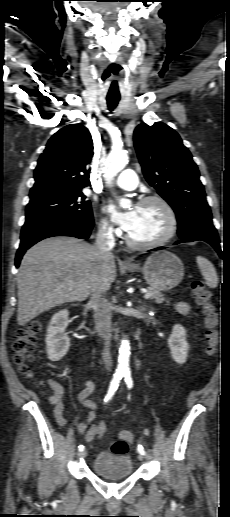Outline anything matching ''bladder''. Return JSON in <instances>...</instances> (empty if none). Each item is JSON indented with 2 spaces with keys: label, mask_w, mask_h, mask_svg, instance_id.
<instances>
[{
  "label": "bladder",
  "mask_w": 230,
  "mask_h": 517,
  "mask_svg": "<svg viewBox=\"0 0 230 517\" xmlns=\"http://www.w3.org/2000/svg\"><path fill=\"white\" fill-rule=\"evenodd\" d=\"M92 471L107 479H118L130 476L133 465L128 456L101 452L93 460Z\"/></svg>",
  "instance_id": "obj_1"
}]
</instances>
